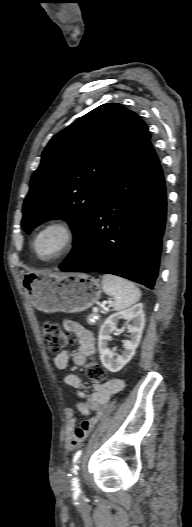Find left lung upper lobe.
Listing matches in <instances>:
<instances>
[{
    "mask_svg": "<svg viewBox=\"0 0 192 527\" xmlns=\"http://www.w3.org/2000/svg\"><path fill=\"white\" fill-rule=\"evenodd\" d=\"M142 119L118 103L103 104L56 134L42 153L23 204L22 227L64 219L74 244L120 173L150 142Z\"/></svg>",
    "mask_w": 192,
    "mask_h": 527,
    "instance_id": "1",
    "label": "left lung upper lobe"
}]
</instances>
